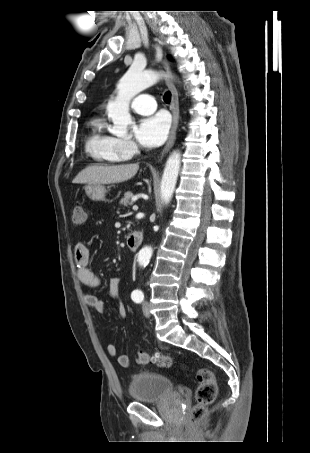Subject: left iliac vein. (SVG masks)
Wrapping results in <instances>:
<instances>
[{
  "label": "left iliac vein",
  "mask_w": 310,
  "mask_h": 453,
  "mask_svg": "<svg viewBox=\"0 0 310 453\" xmlns=\"http://www.w3.org/2000/svg\"><path fill=\"white\" fill-rule=\"evenodd\" d=\"M142 311H143V314L145 317H149L150 316V307H149V303L148 301H143L142 303Z\"/></svg>",
  "instance_id": "obj_1"
}]
</instances>
